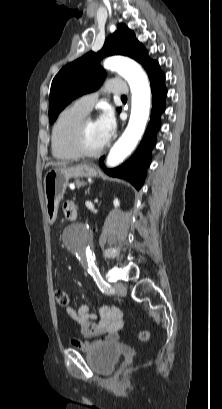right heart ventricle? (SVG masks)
<instances>
[{
  "label": "right heart ventricle",
  "mask_w": 222,
  "mask_h": 409,
  "mask_svg": "<svg viewBox=\"0 0 222 409\" xmlns=\"http://www.w3.org/2000/svg\"><path fill=\"white\" fill-rule=\"evenodd\" d=\"M87 115L76 103L66 107L58 115L51 135L53 156L58 160H74L79 156L74 151L71 138L78 122Z\"/></svg>",
  "instance_id": "obj_1"
}]
</instances>
